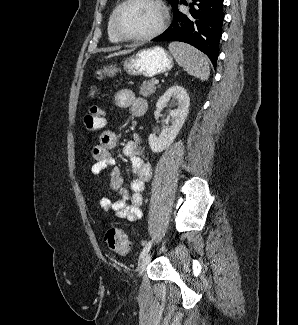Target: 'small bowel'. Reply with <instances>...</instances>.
Segmentation results:
<instances>
[{"mask_svg": "<svg viewBox=\"0 0 298 325\" xmlns=\"http://www.w3.org/2000/svg\"><path fill=\"white\" fill-rule=\"evenodd\" d=\"M115 103L121 108L130 107L134 115H136V110L140 105H146L143 99L136 98L129 89L118 91L115 94ZM117 142L118 138L115 132L106 130L101 133L99 143L92 149V157L95 162L92 165L91 172L94 176H98L106 168H110V187L120 193V198L115 201L102 197L99 202L101 209L104 211L113 210L118 218L136 221L142 216V192L151 178L152 169L146 159V152L141 140L138 135H135L123 149V154L131 161L133 171L129 190H126L122 170L118 166L115 156L111 153Z\"/></svg>", "mask_w": 298, "mask_h": 325, "instance_id": "1", "label": "small bowel"}]
</instances>
